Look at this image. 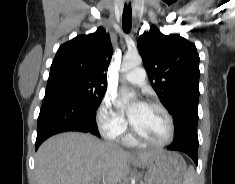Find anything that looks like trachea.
Returning a JSON list of instances; mask_svg holds the SVG:
<instances>
[{
    "label": "trachea",
    "mask_w": 235,
    "mask_h": 184,
    "mask_svg": "<svg viewBox=\"0 0 235 184\" xmlns=\"http://www.w3.org/2000/svg\"><path fill=\"white\" fill-rule=\"evenodd\" d=\"M132 26V10L131 5H125L123 15H122V27L123 30L128 33Z\"/></svg>",
    "instance_id": "trachea-1"
}]
</instances>
